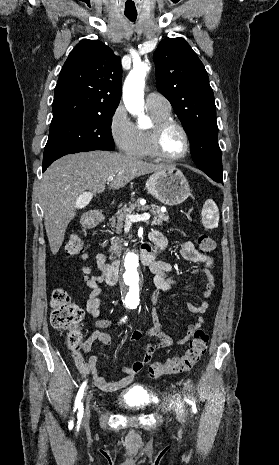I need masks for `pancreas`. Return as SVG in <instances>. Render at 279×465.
I'll return each instance as SVG.
<instances>
[{"label":"pancreas","mask_w":279,"mask_h":465,"mask_svg":"<svg viewBox=\"0 0 279 465\" xmlns=\"http://www.w3.org/2000/svg\"><path fill=\"white\" fill-rule=\"evenodd\" d=\"M136 211H146L150 210L153 214V221L152 225H162L164 221L169 222V216L166 215L164 212L160 210V208L156 205L151 206H141L139 201H135L133 203H129L125 205L123 208L118 210V212L110 219V224L113 228H115L116 233H120L123 228V223L127 220V215L134 213ZM125 241L121 238H116L112 240L109 252L111 256L118 255L119 252L123 249V243Z\"/></svg>","instance_id":"cf45deb5"}]
</instances>
